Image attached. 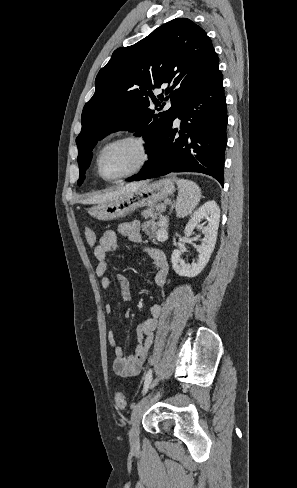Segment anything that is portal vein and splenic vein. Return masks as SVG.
Instances as JSON below:
<instances>
[{
    "label": "portal vein and splenic vein",
    "instance_id": "18ae733b",
    "mask_svg": "<svg viewBox=\"0 0 297 488\" xmlns=\"http://www.w3.org/2000/svg\"><path fill=\"white\" fill-rule=\"evenodd\" d=\"M167 220H168V218L167 217H164L163 220H162V224H165L167 222ZM162 232H164V229L163 228L160 229V230H158V233H162Z\"/></svg>",
    "mask_w": 297,
    "mask_h": 488
}]
</instances>
